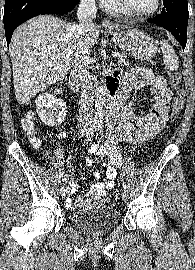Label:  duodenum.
Listing matches in <instances>:
<instances>
[{"label":"duodenum","instance_id":"duodenum-1","mask_svg":"<svg viewBox=\"0 0 195 270\" xmlns=\"http://www.w3.org/2000/svg\"><path fill=\"white\" fill-rule=\"evenodd\" d=\"M72 89L83 95L86 89L84 82L82 81L79 72L76 70L71 74L70 78ZM106 94L110 101V104L113 105L117 101L118 92H117V84L110 78H107L106 82Z\"/></svg>","mask_w":195,"mask_h":270}]
</instances>
